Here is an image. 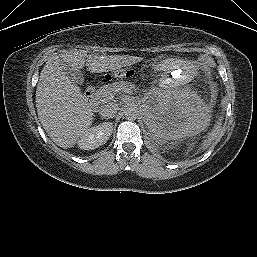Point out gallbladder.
<instances>
[{"label": "gallbladder", "mask_w": 257, "mask_h": 257, "mask_svg": "<svg viewBox=\"0 0 257 257\" xmlns=\"http://www.w3.org/2000/svg\"><path fill=\"white\" fill-rule=\"evenodd\" d=\"M61 64L63 67V71L66 75L71 79L74 83L82 85L84 82V77L82 72L79 69L73 68L70 65L63 62L61 59Z\"/></svg>", "instance_id": "bac80fb5"}]
</instances>
